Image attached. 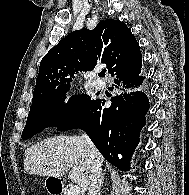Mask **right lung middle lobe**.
<instances>
[{"label": "right lung middle lobe", "mask_w": 189, "mask_h": 195, "mask_svg": "<svg viewBox=\"0 0 189 195\" xmlns=\"http://www.w3.org/2000/svg\"><path fill=\"white\" fill-rule=\"evenodd\" d=\"M68 90L69 88L32 103L21 136L23 140L47 127L62 125L91 100L86 94L73 95L67 104H63Z\"/></svg>", "instance_id": "dd1d6c3e"}]
</instances>
